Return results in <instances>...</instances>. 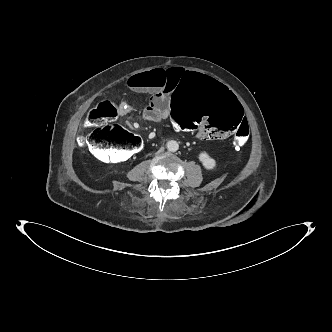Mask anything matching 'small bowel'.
<instances>
[{
	"label": "small bowel",
	"mask_w": 332,
	"mask_h": 332,
	"mask_svg": "<svg viewBox=\"0 0 332 332\" xmlns=\"http://www.w3.org/2000/svg\"><path fill=\"white\" fill-rule=\"evenodd\" d=\"M183 77L184 71L180 68H157L133 75L127 80V84L132 91L151 95V99L143 112L145 120L160 122L170 117L171 99L177 84ZM131 111L132 108L129 104L125 102L120 104L119 115L125 116ZM196 137L198 139H213L200 133H197Z\"/></svg>",
	"instance_id": "small-bowel-1"
}]
</instances>
